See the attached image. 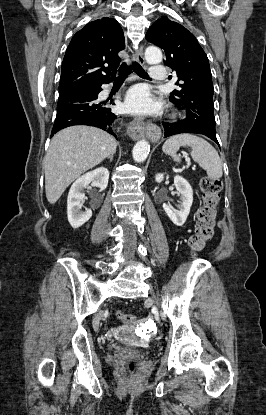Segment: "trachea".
<instances>
[{
  "label": "trachea",
  "instance_id": "3493384b",
  "mask_svg": "<svg viewBox=\"0 0 266 415\" xmlns=\"http://www.w3.org/2000/svg\"><path fill=\"white\" fill-rule=\"evenodd\" d=\"M131 70H133L140 77L149 78L148 74L137 62H132V65L130 66H128L126 63H122V65L119 68V74L116 78V81L125 80L128 74L131 72Z\"/></svg>",
  "mask_w": 266,
  "mask_h": 415
}]
</instances>
